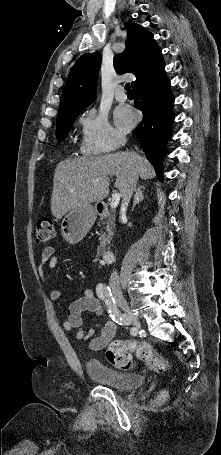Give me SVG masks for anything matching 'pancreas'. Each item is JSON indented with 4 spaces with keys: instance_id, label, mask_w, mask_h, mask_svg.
Segmentation results:
<instances>
[{
    "instance_id": "pancreas-1",
    "label": "pancreas",
    "mask_w": 221,
    "mask_h": 455,
    "mask_svg": "<svg viewBox=\"0 0 221 455\" xmlns=\"http://www.w3.org/2000/svg\"><path fill=\"white\" fill-rule=\"evenodd\" d=\"M104 217H101V220H103ZM103 225H106L105 232H102L99 236V241L100 245L97 248V254L102 255L105 250L106 246L110 243L112 236L115 231V221L114 217L111 216L110 214L107 215V220L102 223Z\"/></svg>"
}]
</instances>
